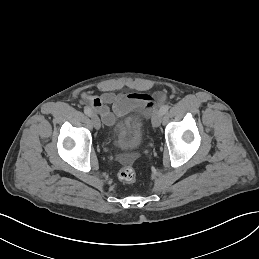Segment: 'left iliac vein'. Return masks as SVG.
<instances>
[{
    "label": "left iliac vein",
    "mask_w": 259,
    "mask_h": 259,
    "mask_svg": "<svg viewBox=\"0 0 259 259\" xmlns=\"http://www.w3.org/2000/svg\"><path fill=\"white\" fill-rule=\"evenodd\" d=\"M162 116L163 115L160 113V111L155 113L152 119V125L154 127H158L161 124Z\"/></svg>",
    "instance_id": "1"
}]
</instances>
